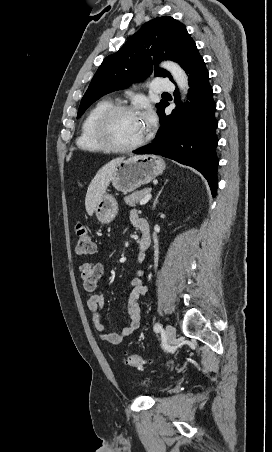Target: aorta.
<instances>
[{"mask_svg": "<svg viewBox=\"0 0 272 452\" xmlns=\"http://www.w3.org/2000/svg\"><path fill=\"white\" fill-rule=\"evenodd\" d=\"M161 67L168 70L171 73L179 89L186 94L188 89V78L184 70L177 63L172 61L162 62Z\"/></svg>", "mask_w": 272, "mask_h": 452, "instance_id": "obj_1", "label": "aorta"}]
</instances>
